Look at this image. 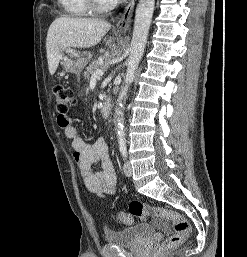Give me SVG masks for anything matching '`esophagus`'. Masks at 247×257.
Instances as JSON below:
<instances>
[{"label": "esophagus", "mask_w": 247, "mask_h": 257, "mask_svg": "<svg viewBox=\"0 0 247 257\" xmlns=\"http://www.w3.org/2000/svg\"><path fill=\"white\" fill-rule=\"evenodd\" d=\"M136 0H129L126 5L123 13L121 14L116 26L115 30L117 32H126L131 24L133 11L135 7Z\"/></svg>", "instance_id": "obj_1"}]
</instances>
